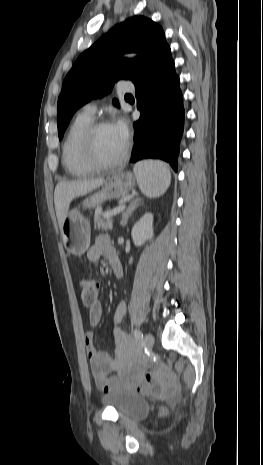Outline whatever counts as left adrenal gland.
<instances>
[{
	"instance_id": "1",
	"label": "left adrenal gland",
	"mask_w": 263,
	"mask_h": 465,
	"mask_svg": "<svg viewBox=\"0 0 263 465\" xmlns=\"http://www.w3.org/2000/svg\"><path fill=\"white\" fill-rule=\"evenodd\" d=\"M143 204L142 199L136 197L134 198L126 208V210L122 214V220H121V225L124 227L127 222L129 217L132 215V213L141 205Z\"/></svg>"
}]
</instances>
